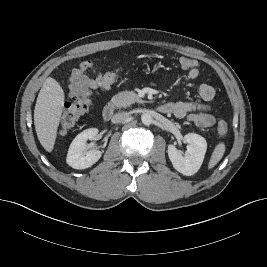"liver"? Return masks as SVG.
Segmentation results:
<instances>
[{
    "mask_svg": "<svg viewBox=\"0 0 267 267\" xmlns=\"http://www.w3.org/2000/svg\"><path fill=\"white\" fill-rule=\"evenodd\" d=\"M64 100L65 94L60 84L54 78L48 77L38 94L34 109L37 137L47 152L54 148Z\"/></svg>",
    "mask_w": 267,
    "mask_h": 267,
    "instance_id": "liver-1",
    "label": "liver"
}]
</instances>
